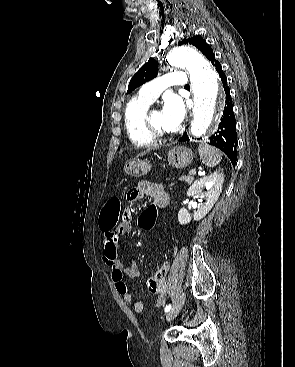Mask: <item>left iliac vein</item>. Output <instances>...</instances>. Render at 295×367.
I'll list each match as a JSON object with an SVG mask.
<instances>
[{"label":"left iliac vein","mask_w":295,"mask_h":367,"mask_svg":"<svg viewBox=\"0 0 295 367\" xmlns=\"http://www.w3.org/2000/svg\"><path fill=\"white\" fill-rule=\"evenodd\" d=\"M184 302H185V293L181 292L175 304L173 305V307L170 309V311L166 315L167 321H171L172 319H174L177 316Z\"/></svg>","instance_id":"obj_1"}]
</instances>
